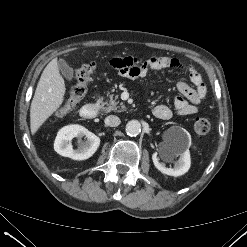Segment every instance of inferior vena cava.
Here are the masks:
<instances>
[{
  "label": "inferior vena cava",
  "mask_w": 247,
  "mask_h": 247,
  "mask_svg": "<svg viewBox=\"0 0 247 247\" xmlns=\"http://www.w3.org/2000/svg\"><path fill=\"white\" fill-rule=\"evenodd\" d=\"M120 122V118L115 115H109L105 118V124L110 127H117Z\"/></svg>",
  "instance_id": "obj_1"
}]
</instances>
